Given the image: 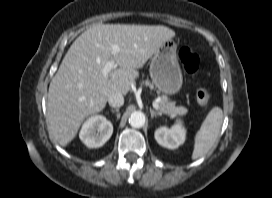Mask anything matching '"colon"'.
<instances>
[{
  "label": "colon",
  "mask_w": 272,
  "mask_h": 198,
  "mask_svg": "<svg viewBox=\"0 0 272 198\" xmlns=\"http://www.w3.org/2000/svg\"><path fill=\"white\" fill-rule=\"evenodd\" d=\"M179 60L188 73H196L200 68V58L197 53L188 46H182L179 50ZM197 100L200 104H207L211 101L212 92L207 87H200L196 92Z\"/></svg>",
  "instance_id": "colon-1"
}]
</instances>
